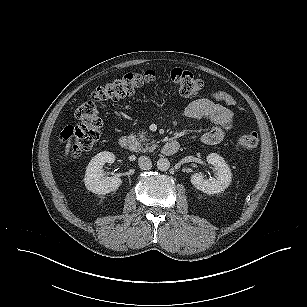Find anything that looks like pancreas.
<instances>
[{
	"instance_id": "pancreas-1",
	"label": "pancreas",
	"mask_w": 307,
	"mask_h": 307,
	"mask_svg": "<svg viewBox=\"0 0 307 307\" xmlns=\"http://www.w3.org/2000/svg\"><path fill=\"white\" fill-rule=\"evenodd\" d=\"M136 141L139 144L138 150L141 152H152L158 146L155 140H150V138L146 137V132L139 133L138 136H135Z\"/></svg>"
}]
</instances>
